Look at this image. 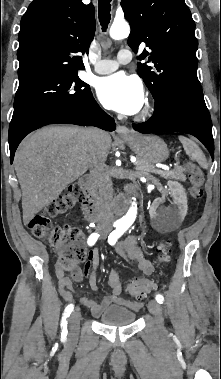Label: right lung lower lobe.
Returning a JSON list of instances; mask_svg holds the SVG:
<instances>
[{
	"label": "right lung lower lobe",
	"instance_id": "98d812e1",
	"mask_svg": "<svg viewBox=\"0 0 221 379\" xmlns=\"http://www.w3.org/2000/svg\"><path fill=\"white\" fill-rule=\"evenodd\" d=\"M55 123L76 124L83 126H97L101 129L113 131L115 130L114 120L107 115L97 104L92 94L89 99L75 107L61 111L59 113L50 115L34 126L29 128L24 133L20 134L17 138L9 141L10 148V161L12 163L15 151L21 140L31 131L36 130L42 126Z\"/></svg>",
	"mask_w": 221,
	"mask_h": 379
}]
</instances>
